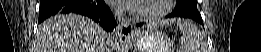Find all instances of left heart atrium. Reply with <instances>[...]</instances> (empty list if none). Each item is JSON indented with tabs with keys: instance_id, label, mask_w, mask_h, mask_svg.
I'll return each mask as SVG.
<instances>
[{
	"instance_id": "1",
	"label": "left heart atrium",
	"mask_w": 261,
	"mask_h": 52,
	"mask_svg": "<svg viewBox=\"0 0 261 52\" xmlns=\"http://www.w3.org/2000/svg\"><path fill=\"white\" fill-rule=\"evenodd\" d=\"M141 2V0H115L114 3L117 4L120 7H124L127 9H132L136 5H138Z\"/></svg>"
}]
</instances>
